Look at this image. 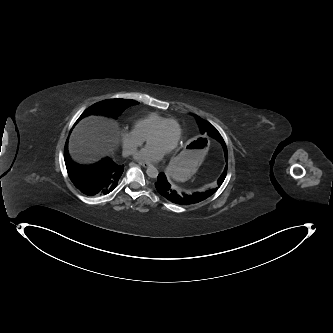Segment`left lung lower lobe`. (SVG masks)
<instances>
[{"instance_id": "left-lung-lower-lobe-1", "label": "left lung lower lobe", "mask_w": 333, "mask_h": 333, "mask_svg": "<svg viewBox=\"0 0 333 333\" xmlns=\"http://www.w3.org/2000/svg\"><path fill=\"white\" fill-rule=\"evenodd\" d=\"M223 147L226 148V145L224 143V140L219 141ZM155 188L158 191V193L167 199L168 201L179 204V205H192L196 204L198 202H201L208 197H210L214 192H216L217 189L214 190H208L204 192H194V193H185L174 190L170 183L167 181V178L165 174L159 173L157 177V181L155 183Z\"/></svg>"}]
</instances>
